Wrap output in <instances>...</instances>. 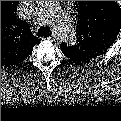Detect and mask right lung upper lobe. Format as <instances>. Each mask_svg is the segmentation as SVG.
Masks as SVG:
<instances>
[{
	"mask_svg": "<svg viewBox=\"0 0 121 121\" xmlns=\"http://www.w3.org/2000/svg\"><path fill=\"white\" fill-rule=\"evenodd\" d=\"M35 43L27 25L16 18L14 5L9 7V1H1V59L3 56L24 59Z\"/></svg>",
	"mask_w": 121,
	"mask_h": 121,
	"instance_id": "right-lung-upper-lobe-1",
	"label": "right lung upper lobe"
}]
</instances>
